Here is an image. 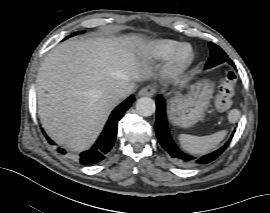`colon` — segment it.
Returning <instances> with one entry per match:
<instances>
[{
	"instance_id": "obj_1",
	"label": "colon",
	"mask_w": 270,
	"mask_h": 213,
	"mask_svg": "<svg viewBox=\"0 0 270 213\" xmlns=\"http://www.w3.org/2000/svg\"><path fill=\"white\" fill-rule=\"evenodd\" d=\"M236 80V74L234 72L229 71L224 74L213 98L216 109L227 110L232 106Z\"/></svg>"
}]
</instances>
